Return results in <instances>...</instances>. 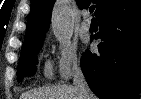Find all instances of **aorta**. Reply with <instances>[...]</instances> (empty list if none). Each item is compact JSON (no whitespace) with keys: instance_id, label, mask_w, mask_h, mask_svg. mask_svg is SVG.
Returning <instances> with one entry per match:
<instances>
[{"instance_id":"aorta-1","label":"aorta","mask_w":141,"mask_h":99,"mask_svg":"<svg viewBox=\"0 0 141 99\" xmlns=\"http://www.w3.org/2000/svg\"><path fill=\"white\" fill-rule=\"evenodd\" d=\"M51 26L55 38L59 42L69 41L73 35L71 7L65 1H57L51 17Z\"/></svg>"}]
</instances>
